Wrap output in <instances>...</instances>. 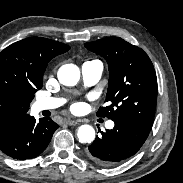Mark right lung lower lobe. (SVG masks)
I'll use <instances>...</instances> for the list:
<instances>
[{
	"instance_id": "right-lung-lower-lobe-1",
	"label": "right lung lower lobe",
	"mask_w": 183,
	"mask_h": 183,
	"mask_svg": "<svg viewBox=\"0 0 183 183\" xmlns=\"http://www.w3.org/2000/svg\"><path fill=\"white\" fill-rule=\"evenodd\" d=\"M58 127L50 118L36 121L27 113L19 115L0 132V151L17 160L34 158L46 149Z\"/></svg>"
}]
</instances>
